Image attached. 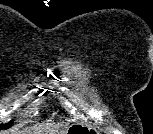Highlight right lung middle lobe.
<instances>
[{
    "label": "right lung middle lobe",
    "mask_w": 153,
    "mask_h": 134,
    "mask_svg": "<svg viewBox=\"0 0 153 134\" xmlns=\"http://www.w3.org/2000/svg\"><path fill=\"white\" fill-rule=\"evenodd\" d=\"M10 125H11V122H9L8 124L0 125V130L1 129H7V128L10 127Z\"/></svg>",
    "instance_id": "dd1d6c3e"
}]
</instances>
